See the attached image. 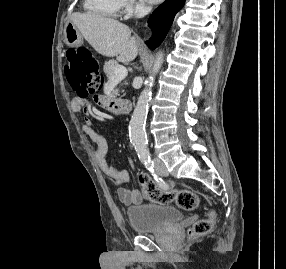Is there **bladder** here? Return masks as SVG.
Listing matches in <instances>:
<instances>
[{"label": "bladder", "mask_w": 286, "mask_h": 269, "mask_svg": "<svg viewBox=\"0 0 286 269\" xmlns=\"http://www.w3.org/2000/svg\"><path fill=\"white\" fill-rule=\"evenodd\" d=\"M129 225L140 234L155 233L180 222L182 212L166 203H144L126 210Z\"/></svg>", "instance_id": "obj_1"}]
</instances>
